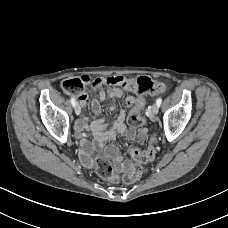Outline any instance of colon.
I'll return each instance as SVG.
<instances>
[{"mask_svg": "<svg viewBox=\"0 0 228 228\" xmlns=\"http://www.w3.org/2000/svg\"><path fill=\"white\" fill-rule=\"evenodd\" d=\"M87 83L84 79L72 78L66 79L62 83L63 90L68 94L80 95L84 92L85 85ZM102 84L106 85H120L127 89H131L136 92L139 96L145 94H157L161 93L166 89L164 83L152 80L147 76H140L137 79H127L120 76L108 77L102 80H94L90 85L91 87H99ZM144 107V101L139 99L136 108L133 109L128 117V124L132 128L140 127L144 124L145 119L142 115ZM155 138L152 137L149 146L145 150L137 148H130L129 154L135 160L134 163L126 165L125 173L119 177L113 169L110 160L104 157H98L95 163V169L97 173L103 179L111 182H123L125 184H133L138 181L142 175L143 169L141 164L147 163L155 157Z\"/></svg>", "mask_w": 228, "mask_h": 228, "instance_id": "1", "label": "colon"}]
</instances>
